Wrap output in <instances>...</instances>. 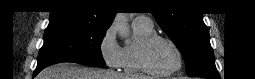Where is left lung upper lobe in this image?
I'll return each mask as SVG.
<instances>
[{"label":"left lung upper lobe","instance_id":"left-lung-upper-lobe-1","mask_svg":"<svg viewBox=\"0 0 255 79\" xmlns=\"http://www.w3.org/2000/svg\"><path fill=\"white\" fill-rule=\"evenodd\" d=\"M157 23L182 53L188 76L217 75L209 32L198 12L169 11L175 1L155 0Z\"/></svg>","mask_w":255,"mask_h":79}]
</instances>
